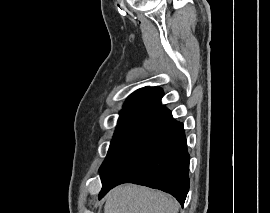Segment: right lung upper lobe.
<instances>
[{
    "mask_svg": "<svg viewBox=\"0 0 270 213\" xmlns=\"http://www.w3.org/2000/svg\"><path fill=\"white\" fill-rule=\"evenodd\" d=\"M164 93L159 87H144L132 93L124 104L125 107L152 106L158 107Z\"/></svg>",
    "mask_w": 270,
    "mask_h": 213,
    "instance_id": "1",
    "label": "right lung upper lobe"
}]
</instances>
